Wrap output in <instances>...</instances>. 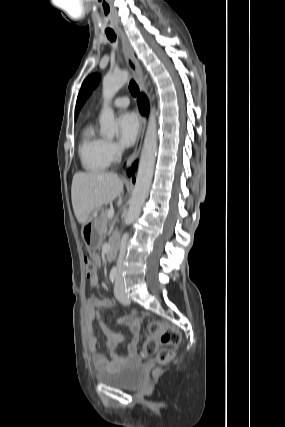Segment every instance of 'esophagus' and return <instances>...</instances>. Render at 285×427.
<instances>
[{
    "label": "esophagus",
    "instance_id": "esophagus-1",
    "mask_svg": "<svg viewBox=\"0 0 285 427\" xmlns=\"http://www.w3.org/2000/svg\"><path fill=\"white\" fill-rule=\"evenodd\" d=\"M118 32H119V35L121 38L122 50H123V54H124L125 60L127 62V65L130 68V70L132 71V74H133L141 92H145L146 90H145L144 82L142 80L141 66H140L139 62L137 61V59L135 58L133 51H132V48L129 45V42H128L124 32L121 29H119ZM145 126H146L145 117L141 116L140 117V128H139L136 146H135L133 153L130 155V157L127 160L128 166H131V164L139 156L141 146H142V142H143ZM124 175H126L125 171H124Z\"/></svg>",
    "mask_w": 285,
    "mask_h": 427
}]
</instances>
